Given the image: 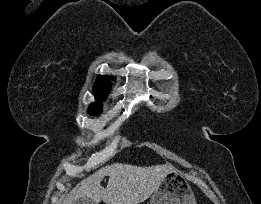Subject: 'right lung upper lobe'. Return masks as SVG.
Here are the masks:
<instances>
[{
    "label": "right lung upper lobe",
    "instance_id": "cb5924a9",
    "mask_svg": "<svg viewBox=\"0 0 261 204\" xmlns=\"http://www.w3.org/2000/svg\"><path fill=\"white\" fill-rule=\"evenodd\" d=\"M110 82L104 76H99L94 83L93 91L97 98L104 99L110 91ZM91 107H101L99 104H93Z\"/></svg>",
    "mask_w": 261,
    "mask_h": 204
}]
</instances>
